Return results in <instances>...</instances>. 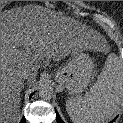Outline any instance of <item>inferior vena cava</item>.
Masks as SVG:
<instances>
[{"label":"inferior vena cava","instance_id":"inferior-vena-cava-1","mask_svg":"<svg viewBox=\"0 0 123 123\" xmlns=\"http://www.w3.org/2000/svg\"><path fill=\"white\" fill-rule=\"evenodd\" d=\"M31 77V74L27 71H22L20 74H19V78L20 79H30Z\"/></svg>","mask_w":123,"mask_h":123}]
</instances>
